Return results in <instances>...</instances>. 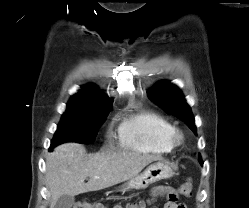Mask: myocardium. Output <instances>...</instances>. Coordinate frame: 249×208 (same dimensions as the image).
I'll return each instance as SVG.
<instances>
[{
  "instance_id": "1",
  "label": "myocardium",
  "mask_w": 249,
  "mask_h": 208,
  "mask_svg": "<svg viewBox=\"0 0 249 208\" xmlns=\"http://www.w3.org/2000/svg\"><path fill=\"white\" fill-rule=\"evenodd\" d=\"M169 139H170V143H171L172 147H177V146H180L183 143L184 136L180 131L174 130L170 134Z\"/></svg>"
}]
</instances>
